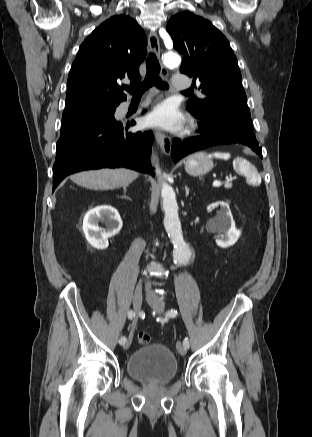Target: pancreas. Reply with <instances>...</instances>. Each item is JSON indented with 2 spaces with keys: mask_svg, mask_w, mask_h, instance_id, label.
<instances>
[{
  "mask_svg": "<svg viewBox=\"0 0 312 437\" xmlns=\"http://www.w3.org/2000/svg\"><path fill=\"white\" fill-rule=\"evenodd\" d=\"M224 187L227 188V189H230V188H232V183L231 182H226L224 184Z\"/></svg>",
  "mask_w": 312,
  "mask_h": 437,
  "instance_id": "cf45deb5",
  "label": "pancreas"
}]
</instances>
